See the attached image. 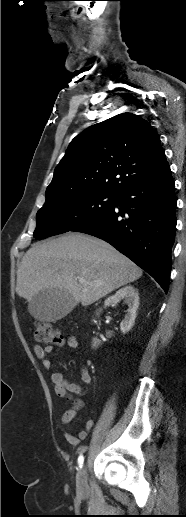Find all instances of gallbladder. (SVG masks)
<instances>
[{
	"label": "gallbladder",
	"instance_id": "1",
	"mask_svg": "<svg viewBox=\"0 0 186 517\" xmlns=\"http://www.w3.org/2000/svg\"><path fill=\"white\" fill-rule=\"evenodd\" d=\"M73 307L74 299L70 294L58 289H47L33 297L28 310L35 319L55 321L70 313Z\"/></svg>",
	"mask_w": 186,
	"mask_h": 517
}]
</instances>
